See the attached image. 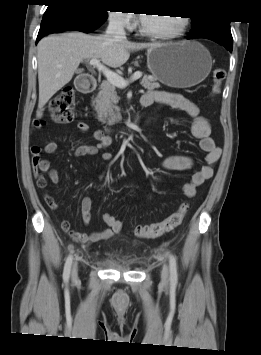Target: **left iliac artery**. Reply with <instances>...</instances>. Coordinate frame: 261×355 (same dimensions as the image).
<instances>
[{"mask_svg":"<svg viewBox=\"0 0 261 355\" xmlns=\"http://www.w3.org/2000/svg\"><path fill=\"white\" fill-rule=\"evenodd\" d=\"M169 264H170V280L172 285H176L178 281L177 274V262L173 254H169Z\"/></svg>","mask_w":261,"mask_h":355,"instance_id":"left-iliac-artery-1","label":"left iliac artery"}]
</instances>
